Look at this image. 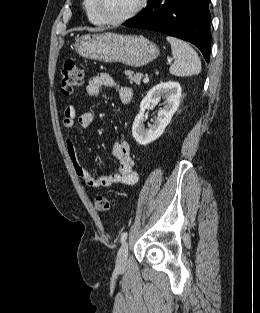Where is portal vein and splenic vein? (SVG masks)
<instances>
[{"mask_svg":"<svg viewBox=\"0 0 260 313\" xmlns=\"http://www.w3.org/2000/svg\"><path fill=\"white\" fill-rule=\"evenodd\" d=\"M143 82H144V83H148V82H149L148 76H146V77L143 79Z\"/></svg>","mask_w":260,"mask_h":313,"instance_id":"18ae733b","label":"portal vein and splenic vein"}]
</instances>
